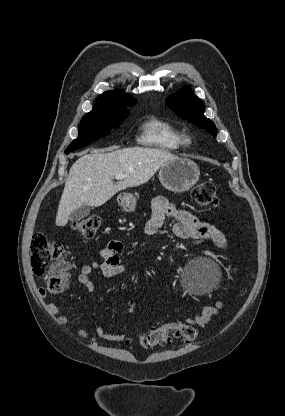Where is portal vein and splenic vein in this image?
Segmentation results:
<instances>
[{
    "label": "portal vein and splenic vein",
    "instance_id": "portal-vein-and-splenic-vein-1",
    "mask_svg": "<svg viewBox=\"0 0 285 416\" xmlns=\"http://www.w3.org/2000/svg\"><path fill=\"white\" fill-rule=\"evenodd\" d=\"M115 178L116 180H124L127 176H125V174H116Z\"/></svg>",
    "mask_w": 285,
    "mask_h": 416
}]
</instances>
